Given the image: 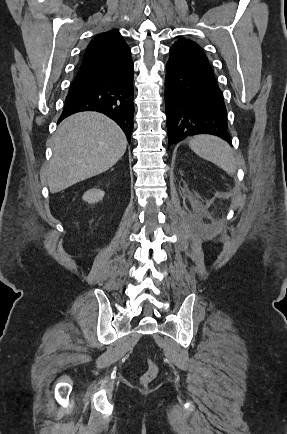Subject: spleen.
<instances>
[{
	"instance_id": "obj_1",
	"label": "spleen",
	"mask_w": 287,
	"mask_h": 434,
	"mask_svg": "<svg viewBox=\"0 0 287 434\" xmlns=\"http://www.w3.org/2000/svg\"><path fill=\"white\" fill-rule=\"evenodd\" d=\"M190 148L200 157L216 164L226 173L236 172V161L230 145L212 135H197L189 142Z\"/></svg>"
}]
</instances>
